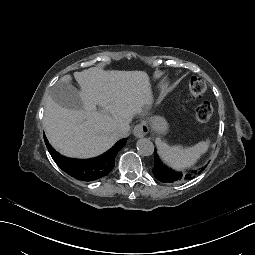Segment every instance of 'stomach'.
<instances>
[{"instance_id": "stomach-1", "label": "stomach", "mask_w": 255, "mask_h": 255, "mask_svg": "<svg viewBox=\"0 0 255 255\" xmlns=\"http://www.w3.org/2000/svg\"><path fill=\"white\" fill-rule=\"evenodd\" d=\"M144 127L146 126L144 125ZM152 128L158 132L164 133L167 129L165 120L159 117H154L152 119Z\"/></svg>"}]
</instances>
